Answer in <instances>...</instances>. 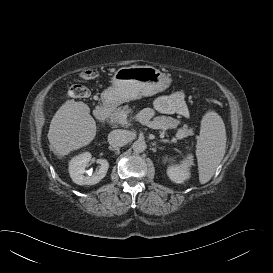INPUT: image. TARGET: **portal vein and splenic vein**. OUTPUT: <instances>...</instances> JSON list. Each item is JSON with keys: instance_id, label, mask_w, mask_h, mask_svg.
I'll return each instance as SVG.
<instances>
[{"instance_id": "portal-vein-and-splenic-vein-1", "label": "portal vein and splenic vein", "mask_w": 273, "mask_h": 273, "mask_svg": "<svg viewBox=\"0 0 273 273\" xmlns=\"http://www.w3.org/2000/svg\"><path fill=\"white\" fill-rule=\"evenodd\" d=\"M136 119H137L140 123L145 124V125H147L148 127H151L150 122H148V120L144 118V113H143V111H141L140 113H138V114L136 115Z\"/></svg>"}]
</instances>
